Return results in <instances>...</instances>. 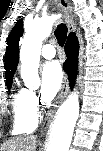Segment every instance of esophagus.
I'll return each instance as SVG.
<instances>
[{
    "label": "esophagus",
    "instance_id": "obj_1",
    "mask_svg": "<svg viewBox=\"0 0 103 151\" xmlns=\"http://www.w3.org/2000/svg\"><path fill=\"white\" fill-rule=\"evenodd\" d=\"M58 2H59V5L64 12L65 22L67 24L68 30L70 32L74 31L75 30L74 22H73L72 17H71L72 8H71L69 1L68 0H58ZM67 90H68V77H67V74H65L64 79H63V83H62L60 92L56 98V101L52 105L51 109L49 110V112L47 114V118L44 121L43 129L41 131V136L45 135V133L49 127V124H50V122L54 116L56 109L59 107V105L62 103V101L64 100V98L66 96Z\"/></svg>",
    "mask_w": 103,
    "mask_h": 151
}]
</instances>
